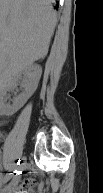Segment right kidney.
Here are the masks:
<instances>
[{
    "instance_id": "1",
    "label": "right kidney",
    "mask_w": 103,
    "mask_h": 193,
    "mask_svg": "<svg viewBox=\"0 0 103 193\" xmlns=\"http://www.w3.org/2000/svg\"><path fill=\"white\" fill-rule=\"evenodd\" d=\"M42 69L39 65H31L23 69L19 74L13 76L7 83H1L0 87V104L1 112L6 116H12L16 113L37 89ZM21 80L20 86L24 91L15 98L13 105L6 103V94L17 86Z\"/></svg>"
}]
</instances>
